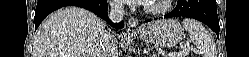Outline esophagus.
Returning a JSON list of instances; mask_svg holds the SVG:
<instances>
[{"mask_svg":"<svg viewBox=\"0 0 249 57\" xmlns=\"http://www.w3.org/2000/svg\"><path fill=\"white\" fill-rule=\"evenodd\" d=\"M138 19L134 18V17H131L129 18L128 20V30L129 31H135L138 29Z\"/></svg>","mask_w":249,"mask_h":57,"instance_id":"34e87169","label":"esophagus"}]
</instances>
